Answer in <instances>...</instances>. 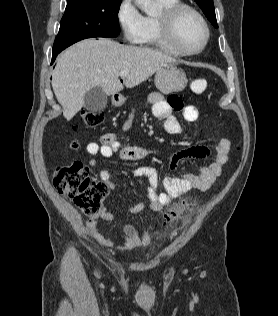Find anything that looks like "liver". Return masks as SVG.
<instances>
[{"mask_svg":"<svg viewBox=\"0 0 278 316\" xmlns=\"http://www.w3.org/2000/svg\"><path fill=\"white\" fill-rule=\"evenodd\" d=\"M176 60L146 47L126 46L109 39L80 41L57 59L52 74V87L63 115L71 120L84 106V96L93 87L115 95L124 86L133 88L151 77L160 67ZM128 75L119 79V73Z\"/></svg>","mask_w":278,"mask_h":316,"instance_id":"obj_1","label":"liver"}]
</instances>
